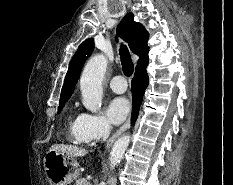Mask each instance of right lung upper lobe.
<instances>
[{"label": "right lung upper lobe", "mask_w": 233, "mask_h": 185, "mask_svg": "<svg viewBox=\"0 0 233 185\" xmlns=\"http://www.w3.org/2000/svg\"><path fill=\"white\" fill-rule=\"evenodd\" d=\"M117 34L125 39L131 51L139 56L136 69L147 66L149 61V47L147 46L149 35L142 24L134 21V15L132 13H128L119 23ZM93 48V38L87 39L79 46L69 64V69L61 91L60 102L67 101L70 98L80 76L83 64L92 53Z\"/></svg>", "instance_id": "cb5924a9"}]
</instances>
